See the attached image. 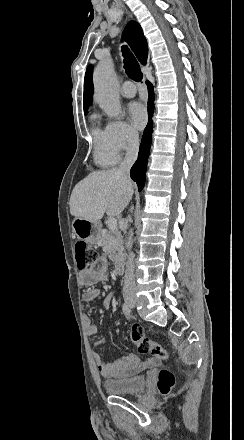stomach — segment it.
Segmentation results:
<instances>
[{
  "mask_svg": "<svg viewBox=\"0 0 244 440\" xmlns=\"http://www.w3.org/2000/svg\"><path fill=\"white\" fill-rule=\"evenodd\" d=\"M72 232L78 240H83L88 244H96L99 240L101 224L100 222L84 220V218H75L72 222Z\"/></svg>",
  "mask_w": 244,
  "mask_h": 440,
  "instance_id": "obj_1",
  "label": "stomach"
}]
</instances>
